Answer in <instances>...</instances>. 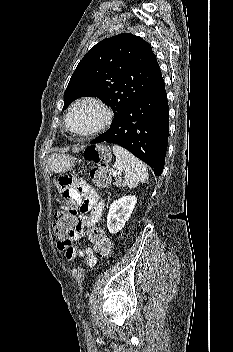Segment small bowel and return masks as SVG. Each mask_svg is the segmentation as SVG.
<instances>
[{
    "label": "small bowel",
    "instance_id": "1",
    "mask_svg": "<svg viewBox=\"0 0 233 352\" xmlns=\"http://www.w3.org/2000/svg\"><path fill=\"white\" fill-rule=\"evenodd\" d=\"M57 188L61 197L71 198L80 206V216L68 236V242L63 244L59 241L58 249L63 251L69 260L86 257L87 263L91 265L95 260L93 251L90 248L79 249L73 245V242L83 237L85 228L92 227L100 221L104 203L90 185L83 181L76 183L70 176L61 177Z\"/></svg>",
    "mask_w": 233,
    "mask_h": 352
}]
</instances>
